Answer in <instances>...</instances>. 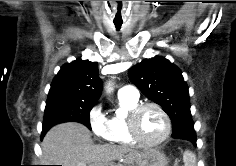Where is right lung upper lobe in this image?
I'll return each mask as SVG.
<instances>
[{
  "label": "right lung upper lobe",
  "instance_id": "right-lung-upper-lobe-1",
  "mask_svg": "<svg viewBox=\"0 0 236 166\" xmlns=\"http://www.w3.org/2000/svg\"><path fill=\"white\" fill-rule=\"evenodd\" d=\"M101 90L98 63L77 59L61 67L51 84L48 99L70 98L96 102Z\"/></svg>",
  "mask_w": 236,
  "mask_h": 166
}]
</instances>
